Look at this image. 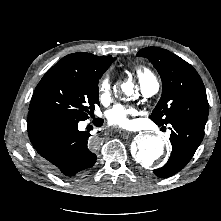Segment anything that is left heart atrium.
I'll return each mask as SVG.
<instances>
[{"mask_svg": "<svg viewBox=\"0 0 221 221\" xmlns=\"http://www.w3.org/2000/svg\"><path fill=\"white\" fill-rule=\"evenodd\" d=\"M136 114V109L132 106L117 104L107 112L109 125L128 128L131 126V116Z\"/></svg>", "mask_w": 221, "mask_h": 221, "instance_id": "1", "label": "left heart atrium"}]
</instances>
